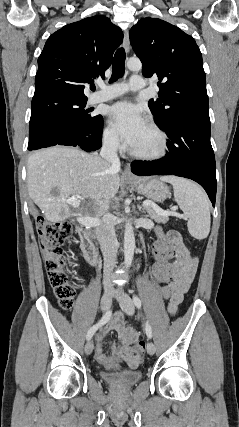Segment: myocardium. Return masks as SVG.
<instances>
[{"instance_id":"myocardium-1","label":"myocardium","mask_w":239,"mask_h":427,"mask_svg":"<svg viewBox=\"0 0 239 427\" xmlns=\"http://www.w3.org/2000/svg\"><path fill=\"white\" fill-rule=\"evenodd\" d=\"M148 126L158 135L159 137V148L157 151L153 153H141L138 151L133 150L131 147L128 148L129 154L137 159L144 160V161H156L161 158H163L169 149V141L168 136L165 133V131L154 121L148 120L147 121Z\"/></svg>"}]
</instances>
